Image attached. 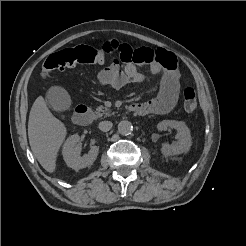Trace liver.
I'll list each match as a JSON object with an SVG mask.
<instances>
[{"mask_svg": "<svg viewBox=\"0 0 246 246\" xmlns=\"http://www.w3.org/2000/svg\"><path fill=\"white\" fill-rule=\"evenodd\" d=\"M65 125L50 112L42 96L34 101L28 121V138L31 150L49 173L56 169L58 151L65 140Z\"/></svg>", "mask_w": 246, "mask_h": 246, "instance_id": "liver-1", "label": "liver"}]
</instances>
